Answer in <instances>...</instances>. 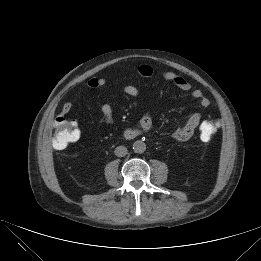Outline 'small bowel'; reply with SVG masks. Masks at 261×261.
<instances>
[{"label": "small bowel", "mask_w": 261, "mask_h": 261, "mask_svg": "<svg viewBox=\"0 0 261 261\" xmlns=\"http://www.w3.org/2000/svg\"><path fill=\"white\" fill-rule=\"evenodd\" d=\"M138 73L144 77H149L153 74V69L149 65H141L138 68ZM163 79L175 84L179 89L183 91H189L191 97L198 100L202 107H208L210 105V100L204 96L203 92L199 89H192L191 83L184 77L167 71L163 73ZM106 85V79L104 77H92L87 81V86L91 89L102 88ZM124 92L131 96L136 97L139 94L137 87L133 85H125L123 88ZM72 109V104L66 102L62 107V114L67 115ZM99 111L104 117H110L112 114V107L108 103H103L99 106ZM153 122L152 117L149 113H145L140 121L139 126L136 128L129 127L123 132V136L126 139H134L142 134L149 132L152 128ZM201 126V115L200 113H194L190 116L187 122L177 127L171 134L172 138L176 141L183 142L190 139L196 129Z\"/></svg>", "instance_id": "1"}]
</instances>
